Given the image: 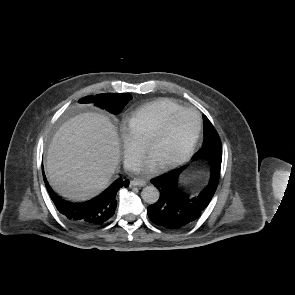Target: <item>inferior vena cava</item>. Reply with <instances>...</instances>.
<instances>
[{
  "instance_id": "obj_1",
  "label": "inferior vena cava",
  "mask_w": 295,
  "mask_h": 295,
  "mask_svg": "<svg viewBox=\"0 0 295 295\" xmlns=\"http://www.w3.org/2000/svg\"><path fill=\"white\" fill-rule=\"evenodd\" d=\"M128 168L132 169L133 171H138L139 170V164L138 163H130L128 165Z\"/></svg>"
}]
</instances>
